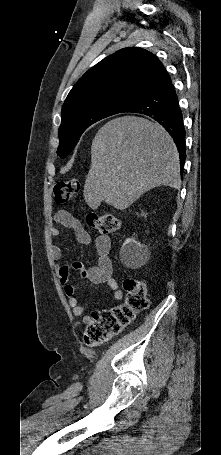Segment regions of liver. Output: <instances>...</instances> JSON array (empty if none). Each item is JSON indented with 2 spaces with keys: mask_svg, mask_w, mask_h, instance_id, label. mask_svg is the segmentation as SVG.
<instances>
[{
  "mask_svg": "<svg viewBox=\"0 0 221 455\" xmlns=\"http://www.w3.org/2000/svg\"><path fill=\"white\" fill-rule=\"evenodd\" d=\"M179 189L180 162L176 145L158 123L122 116L103 125L91 146V166L84 200L95 210L101 202L124 210L158 186Z\"/></svg>",
  "mask_w": 221,
  "mask_h": 455,
  "instance_id": "liver-1",
  "label": "liver"
}]
</instances>
